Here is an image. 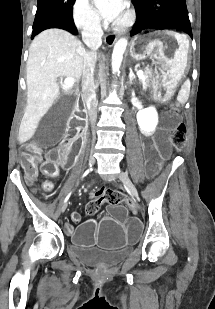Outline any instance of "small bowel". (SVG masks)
Segmentation results:
<instances>
[{"mask_svg": "<svg viewBox=\"0 0 215 309\" xmlns=\"http://www.w3.org/2000/svg\"><path fill=\"white\" fill-rule=\"evenodd\" d=\"M131 207L133 208V210H136V205L133 203V202H131Z\"/></svg>", "mask_w": 215, "mask_h": 309, "instance_id": "obj_1", "label": "small bowel"}]
</instances>
